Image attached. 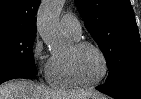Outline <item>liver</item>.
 Returning <instances> with one entry per match:
<instances>
[{"instance_id": "liver-1", "label": "liver", "mask_w": 141, "mask_h": 99, "mask_svg": "<svg viewBox=\"0 0 141 99\" xmlns=\"http://www.w3.org/2000/svg\"><path fill=\"white\" fill-rule=\"evenodd\" d=\"M0 99H105L97 91H57L30 80H12L0 86Z\"/></svg>"}]
</instances>
